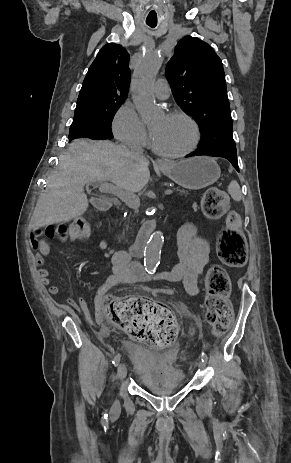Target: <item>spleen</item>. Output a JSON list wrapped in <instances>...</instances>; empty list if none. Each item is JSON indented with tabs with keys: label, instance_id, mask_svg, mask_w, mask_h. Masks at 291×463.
I'll return each instance as SVG.
<instances>
[{
	"label": "spleen",
	"instance_id": "obj_1",
	"mask_svg": "<svg viewBox=\"0 0 291 463\" xmlns=\"http://www.w3.org/2000/svg\"><path fill=\"white\" fill-rule=\"evenodd\" d=\"M228 192L235 201L242 199V193L237 181L232 180L228 186Z\"/></svg>",
	"mask_w": 291,
	"mask_h": 463
}]
</instances>
